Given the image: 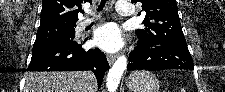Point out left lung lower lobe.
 I'll use <instances>...</instances> for the list:
<instances>
[{"label": "left lung lower lobe", "mask_w": 225, "mask_h": 92, "mask_svg": "<svg viewBox=\"0 0 225 92\" xmlns=\"http://www.w3.org/2000/svg\"><path fill=\"white\" fill-rule=\"evenodd\" d=\"M128 70L186 69L194 64L187 45L154 43L140 40L129 57Z\"/></svg>", "instance_id": "left-lung-lower-lobe-1"}]
</instances>
